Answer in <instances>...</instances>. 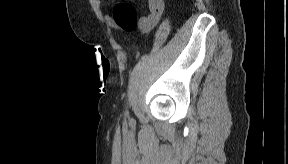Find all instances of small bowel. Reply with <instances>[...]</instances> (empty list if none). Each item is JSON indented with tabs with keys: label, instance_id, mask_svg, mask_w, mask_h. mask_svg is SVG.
I'll return each mask as SVG.
<instances>
[{
	"label": "small bowel",
	"instance_id": "small-bowel-1",
	"mask_svg": "<svg viewBox=\"0 0 288 164\" xmlns=\"http://www.w3.org/2000/svg\"><path fill=\"white\" fill-rule=\"evenodd\" d=\"M164 2L162 0H150L149 1V10L150 14L142 18L143 30H151L161 18L164 12Z\"/></svg>",
	"mask_w": 288,
	"mask_h": 164
}]
</instances>
